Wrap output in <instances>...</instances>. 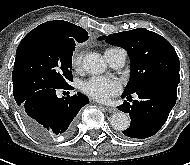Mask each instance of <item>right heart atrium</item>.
<instances>
[{
  "label": "right heart atrium",
  "instance_id": "right-heart-atrium-1",
  "mask_svg": "<svg viewBox=\"0 0 190 165\" xmlns=\"http://www.w3.org/2000/svg\"><path fill=\"white\" fill-rule=\"evenodd\" d=\"M82 52L76 51L73 53L72 58H71V65L74 69H79L82 64Z\"/></svg>",
  "mask_w": 190,
  "mask_h": 165
}]
</instances>
